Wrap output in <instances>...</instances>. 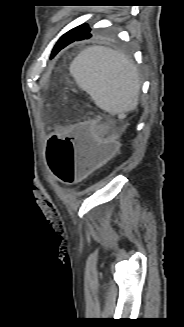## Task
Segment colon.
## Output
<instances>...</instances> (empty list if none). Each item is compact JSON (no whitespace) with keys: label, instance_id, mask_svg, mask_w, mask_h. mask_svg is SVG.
<instances>
[{"label":"colon","instance_id":"obj_1","mask_svg":"<svg viewBox=\"0 0 184 327\" xmlns=\"http://www.w3.org/2000/svg\"><path fill=\"white\" fill-rule=\"evenodd\" d=\"M115 130V121L81 122L66 135H54L46 148L50 169L66 185L81 182L117 153L118 145L111 140Z\"/></svg>","mask_w":184,"mask_h":327}]
</instances>
